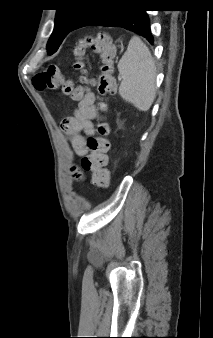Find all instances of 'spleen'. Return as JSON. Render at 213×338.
<instances>
[{
    "label": "spleen",
    "mask_w": 213,
    "mask_h": 338,
    "mask_svg": "<svg viewBox=\"0 0 213 338\" xmlns=\"http://www.w3.org/2000/svg\"><path fill=\"white\" fill-rule=\"evenodd\" d=\"M122 76L120 96L141 111H147L156 97L154 58L143 41L133 36L118 63Z\"/></svg>",
    "instance_id": "1"
}]
</instances>
